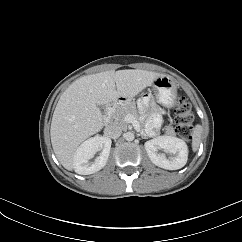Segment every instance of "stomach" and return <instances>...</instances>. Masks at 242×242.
Returning a JSON list of instances; mask_svg holds the SVG:
<instances>
[{
  "label": "stomach",
  "mask_w": 242,
  "mask_h": 242,
  "mask_svg": "<svg viewBox=\"0 0 242 242\" xmlns=\"http://www.w3.org/2000/svg\"><path fill=\"white\" fill-rule=\"evenodd\" d=\"M153 89L157 92V100L166 107L174 105L177 93V83L168 76L157 78L151 84ZM120 104H126V101L121 100Z\"/></svg>",
  "instance_id": "0dacf381"
}]
</instances>
